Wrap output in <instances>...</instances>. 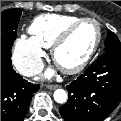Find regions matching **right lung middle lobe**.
Instances as JSON below:
<instances>
[{"label": "right lung middle lobe", "mask_w": 121, "mask_h": 121, "mask_svg": "<svg viewBox=\"0 0 121 121\" xmlns=\"http://www.w3.org/2000/svg\"><path fill=\"white\" fill-rule=\"evenodd\" d=\"M20 17L21 9H10L1 13V49L11 50Z\"/></svg>", "instance_id": "1"}]
</instances>
